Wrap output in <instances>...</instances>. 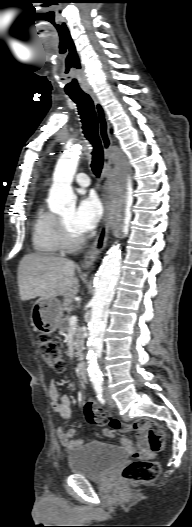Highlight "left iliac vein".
Masks as SVG:
<instances>
[{
    "label": "left iliac vein",
    "mask_w": 192,
    "mask_h": 527,
    "mask_svg": "<svg viewBox=\"0 0 192 527\" xmlns=\"http://www.w3.org/2000/svg\"><path fill=\"white\" fill-rule=\"evenodd\" d=\"M106 398H107L108 405L110 407H115L116 406L115 401L113 400V398L111 397V395H110V393L108 391H106Z\"/></svg>",
    "instance_id": "left-iliac-vein-1"
}]
</instances>
